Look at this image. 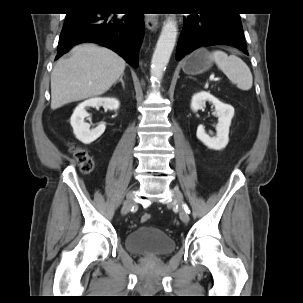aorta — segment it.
<instances>
[{
	"label": "aorta",
	"instance_id": "762f6f07",
	"mask_svg": "<svg viewBox=\"0 0 303 303\" xmlns=\"http://www.w3.org/2000/svg\"><path fill=\"white\" fill-rule=\"evenodd\" d=\"M177 23L170 16L164 23L151 60V78L160 81L169 62L177 38Z\"/></svg>",
	"mask_w": 303,
	"mask_h": 303
}]
</instances>
